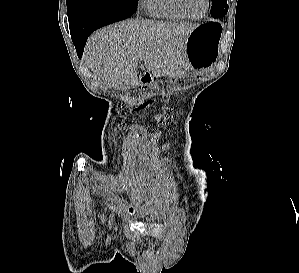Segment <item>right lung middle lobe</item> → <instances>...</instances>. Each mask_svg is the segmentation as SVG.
Returning a JSON list of instances; mask_svg holds the SVG:
<instances>
[{
    "label": "right lung middle lobe",
    "mask_w": 299,
    "mask_h": 273,
    "mask_svg": "<svg viewBox=\"0 0 299 273\" xmlns=\"http://www.w3.org/2000/svg\"><path fill=\"white\" fill-rule=\"evenodd\" d=\"M67 13L78 7H98L102 5H115L121 7H136L138 0H66Z\"/></svg>",
    "instance_id": "right-lung-middle-lobe-1"
}]
</instances>
